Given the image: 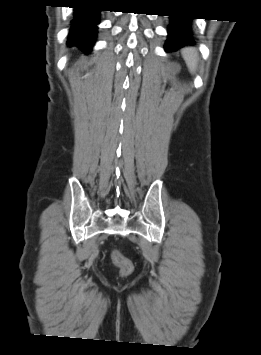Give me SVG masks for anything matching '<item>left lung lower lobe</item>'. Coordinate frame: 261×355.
Masks as SVG:
<instances>
[{
    "label": "left lung lower lobe",
    "instance_id": "1",
    "mask_svg": "<svg viewBox=\"0 0 261 355\" xmlns=\"http://www.w3.org/2000/svg\"><path fill=\"white\" fill-rule=\"evenodd\" d=\"M168 39L165 43L166 51H176L186 45L194 44L192 22L187 16H170Z\"/></svg>",
    "mask_w": 261,
    "mask_h": 355
}]
</instances>
